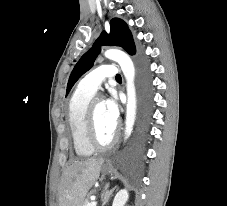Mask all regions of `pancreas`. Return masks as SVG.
I'll return each instance as SVG.
<instances>
[{
  "instance_id": "cf45deb5",
  "label": "pancreas",
  "mask_w": 227,
  "mask_h": 206,
  "mask_svg": "<svg viewBox=\"0 0 227 206\" xmlns=\"http://www.w3.org/2000/svg\"><path fill=\"white\" fill-rule=\"evenodd\" d=\"M88 203H89V198L87 197L81 206H87Z\"/></svg>"
}]
</instances>
